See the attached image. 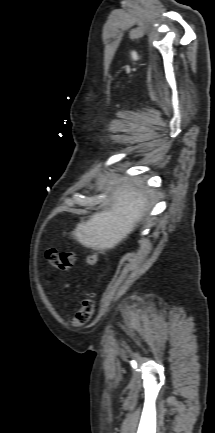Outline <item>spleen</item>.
Returning <instances> with one entry per match:
<instances>
[{"instance_id": "spleen-1", "label": "spleen", "mask_w": 215, "mask_h": 433, "mask_svg": "<svg viewBox=\"0 0 215 433\" xmlns=\"http://www.w3.org/2000/svg\"><path fill=\"white\" fill-rule=\"evenodd\" d=\"M114 196L117 203L111 211L96 213L77 225L73 236L82 245L97 250L113 248L133 230L144 210L145 199L130 188L116 190Z\"/></svg>"}]
</instances>
